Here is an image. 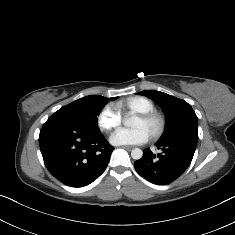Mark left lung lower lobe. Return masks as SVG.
Here are the masks:
<instances>
[{
    "mask_svg": "<svg viewBox=\"0 0 235 235\" xmlns=\"http://www.w3.org/2000/svg\"><path fill=\"white\" fill-rule=\"evenodd\" d=\"M161 153L157 156L151 150H143V157L134 163L139 175L154 184L170 183L188 168L196 146L185 142H157Z\"/></svg>",
    "mask_w": 235,
    "mask_h": 235,
    "instance_id": "0a47b994",
    "label": "left lung lower lobe"
}]
</instances>
